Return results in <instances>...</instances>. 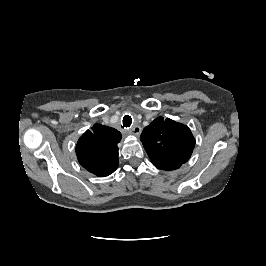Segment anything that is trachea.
<instances>
[{
	"label": "trachea",
	"mask_w": 266,
	"mask_h": 266,
	"mask_svg": "<svg viewBox=\"0 0 266 266\" xmlns=\"http://www.w3.org/2000/svg\"><path fill=\"white\" fill-rule=\"evenodd\" d=\"M122 122H123V126H124V127H126V128L130 127L131 124H132V118H131V116H129V115H125V116L123 117Z\"/></svg>",
	"instance_id": "obj_1"
}]
</instances>
